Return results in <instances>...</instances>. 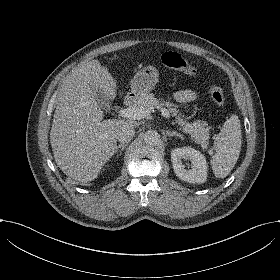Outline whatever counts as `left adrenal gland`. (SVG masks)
Returning a JSON list of instances; mask_svg holds the SVG:
<instances>
[{
  "instance_id": "1",
  "label": "left adrenal gland",
  "mask_w": 280,
  "mask_h": 280,
  "mask_svg": "<svg viewBox=\"0 0 280 280\" xmlns=\"http://www.w3.org/2000/svg\"><path fill=\"white\" fill-rule=\"evenodd\" d=\"M166 134H167L168 137L177 136V137H180L182 140L184 139L183 135L178 133L177 131L167 130Z\"/></svg>"
}]
</instances>
